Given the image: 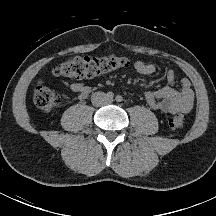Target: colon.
<instances>
[{
  "label": "colon",
  "mask_w": 216,
  "mask_h": 216,
  "mask_svg": "<svg viewBox=\"0 0 216 216\" xmlns=\"http://www.w3.org/2000/svg\"><path fill=\"white\" fill-rule=\"evenodd\" d=\"M129 60L122 56L109 55L104 57L77 56L53 69V75L67 78H92L119 68L128 66ZM61 102V96L39 82L34 90V103L44 112H49ZM186 121L184 114H177L168 121L172 130L183 128Z\"/></svg>",
  "instance_id": "obj_1"
}]
</instances>
